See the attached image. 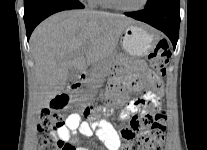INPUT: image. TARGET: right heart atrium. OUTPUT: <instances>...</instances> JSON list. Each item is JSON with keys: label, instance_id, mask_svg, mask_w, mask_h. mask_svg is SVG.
I'll return each mask as SVG.
<instances>
[{"label": "right heart atrium", "instance_id": "right-heart-atrium-1", "mask_svg": "<svg viewBox=\"0 0 207 150\" xmlns=\"http://www.w3.org/2000/svg\"><path fill=\"white\" fill-rule=\"evenodd\" d=\"M86 1H89L91 3L92 0H86Z\"/></svg>", "mask_w": 207, "mask_h": 150}]
</instances>
